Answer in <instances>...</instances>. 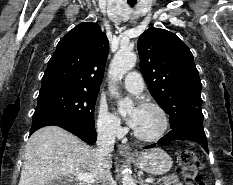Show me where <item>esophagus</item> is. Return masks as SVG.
Masks as SVG:
<instances>
[{
	"instance_id": "34e87169",
	"label": "esophagus",
	"mask_w": 233,
	"mask_h": 185,
	"mask_svg": "<svg viewBox=\"0 0 233 185\" xmlns=\"http://www.w3.org/2000/svg\"><path fill=\"white\" fill-rule=\"evenodd\" d=\"M118 152L124 156L134 155L135 152L127 145L119 144Z\"/></svg>"
}]
</instances>
